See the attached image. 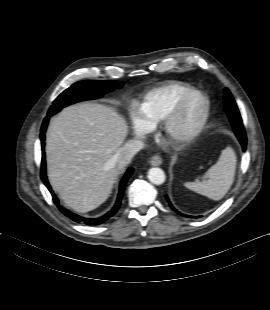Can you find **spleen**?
Listing matches in <instances>:
<instances>
[{"label": "spleen", "mask_w": 270, "mask_h": 310, "mask_svg": "<svg viewBox=\"0 0 270 310\" xmlns=\"http://www.w3.org/2000/svg\"><path fill=\"white\" fill-rule=\"evenodd\" d=\"M237 158L234 150H222L216 164L208 169L202 181L186 182L185 187L212 200H221L233 184Z\"/></svg>", "instance_id": "obj_1"}]
</instances>
